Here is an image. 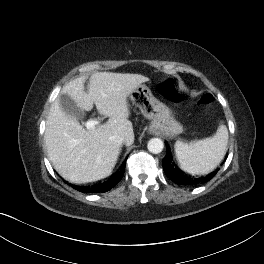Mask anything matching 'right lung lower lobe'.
<instances>
[{"label":"right lung lower lobe","mask_w":264,"mask_h":264,"mask_svg":"<svg viewBox=\"0 0 264 264\" xmlns=\"http://www.w3.org/2000/svg\"><path fill=\"white\" fill-rule=\"evenodd\" d=\"M125 164L122 166L120 171H118L113 177H110L107 181L104 183H99L92 185L91 187H74L80 192L83 193H97V192H106L112 189L123 177Z\"/></svg>","instance_id":"98d812e1"}]
</instances>
